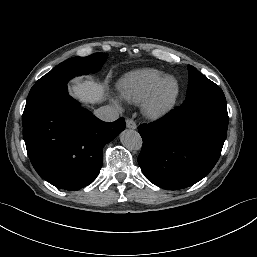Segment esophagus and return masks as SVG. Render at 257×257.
I'll return each mask as SVG.
<instances>
[{"instance_id":"1","label":"esophagus","mask_w":257,"mask_h":257,"mask_svg":"<svg viewBox=\"0 0 257 257\" xmlns=\"http://www.w3.org/2000/svg\"><path fill=\"white\" fill-rule=\"evenodd\" d=\"M126 127L129 129H136L137 125L135 123V121H133L132 119H127L126 120Z\"/></svg>"}]
</instances>
